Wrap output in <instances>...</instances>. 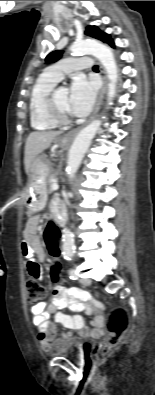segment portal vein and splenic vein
I'll use <instances>...</instances> for the list:
<instances>
[{
  "instance_id": "18ae733b",
  "label": "portal vein and splenic vein",
  "mask_w": 155,
  "mask_h": 395,
  "mask_svg": "<svg viewBox=\"0 0 155 395\" xmlns=\"http://www.w3.org/2000/svg\"><path fill=\"white\" fill-rule=\"evenodd\" d=\"M51 188H52L53 190H57V189L59 188V185L57 184V182H54V183L52 184Z\"/></svg>"
}]
</instances>
